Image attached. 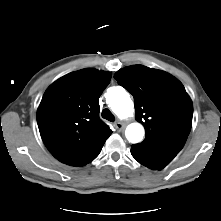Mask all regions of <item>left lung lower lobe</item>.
I'll return each instance as SVG.
<instances>
[{"instance_id": "0a47b994", "label": "left lung lower lobe", "mask_w": 221, "mask_h": 221, "mask_svg": "<svg viewBox=\"0 0 221 221\" xmlns=\"http://www.w3.org/2000/svg\"><path fill=\"white\" fill-rule=\"evenodd\" d=\"M131 154L139 163L153 170H161L171 161L155 154L141 144L132 145Z\"/></svg>"}]
</instances>
